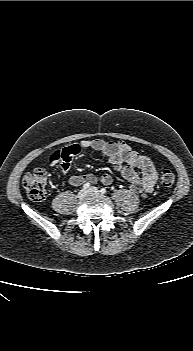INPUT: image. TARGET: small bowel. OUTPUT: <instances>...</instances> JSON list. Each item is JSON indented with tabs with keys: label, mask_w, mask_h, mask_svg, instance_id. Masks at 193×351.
<instances>
[{
	"label": "small bowel",
	"mask_w": 193,
	"mask_h": 351,
	"mask_svg": "<svg viewBox=\"0 0 193 351\" xmlns=\"http://www.w3.org/2000/svg\"><path fill=\"white\" fill-rule=\"evenodd\" d=\"M81 148L93 149L107 158L114 170L129 182L131 192L145 195L154 189L158 177L156 164L147 156L134 151L123 141L114 142L95 138L83 140L80 145L68 143L53 151L49 155V162L52 165H59L60 171L67 173L71 167L70 157L78 156ZM89 182L110 185L113 179L106 173L99 177L88 174L71 176L68 179L71 186H80Z\"/></svg>",
	"instance_id": "1"
}]
</instances>
